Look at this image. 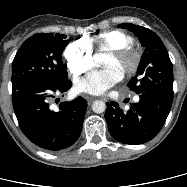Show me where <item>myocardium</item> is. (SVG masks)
Segmentation results:
<instances>
[{"mask_svg": "<svg viewBox=\"0 0 187 187\" xmlns=\"http://www.w3.org/2000/svg\"><path fill=\"white\" fill-rule=\"evenodd\" d=\"M107 54L117 59L128 56L132 58L131 66L123 73L124 77H132L137 73L141 64V53L133 46L116 48L107 51Z\"/></svg>", "mask_w": 187, "mask_h": 187, "instance_id": "obj_1", "label": "myocardium"}]
</instances>
